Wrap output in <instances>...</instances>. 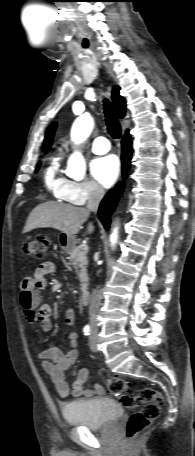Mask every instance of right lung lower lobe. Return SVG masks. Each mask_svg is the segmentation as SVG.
I'll use <instances>...</instances> for the list:
<instances>
[{"label":"right lung lower lobe","mask_w":195,"mask_h":456,"mask_svg":"<svg viewBox=\"0 0 195 456\" xmlns=\"http://www.w3.org/2000/svg\"><path fill=\"white\" fill-rule=\"evenodd\" d=\"M130 159H131V137L126 132L122 139V163H123V177L127 176V172L130 166ZM124 188V184L122 182L116 185L115 189H111L104 199L102 200L98 217L102 224L104 225L105 229H109L110 224V215L114 211L118 198L122 194Z\"/></svg>","instance_id":"1"}]
</instances>
